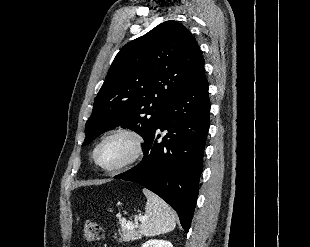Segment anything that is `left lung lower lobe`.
<instances>
[{"mask_svg": "<svg viewBox=\"0 0 310 247\" xmlns=\"http://www.w3.org/2000/svg\"><path fill=\"white\" fill-rule=\"evenodd\" d=\"M210 101L204 68L167 105L143 146L144 158L115 178L137 182L165 200L188 232L199 192L209 130ZM159 130L168 132L162 142Z\"/></svg>", "mask_w": 310, "mask_h": 247, "instance_id": "obj_1", "label": "left lung lower lobe"}]
</instances>
